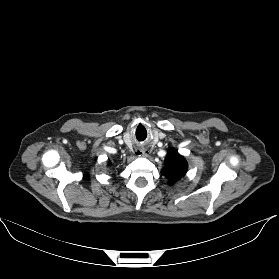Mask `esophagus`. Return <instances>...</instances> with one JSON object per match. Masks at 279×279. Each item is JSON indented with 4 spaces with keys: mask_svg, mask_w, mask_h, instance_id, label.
I'll return each instance as SVG.
<instances>
[{
    "mask_svg": "<svg viewBox=\"0 0 279 279\" xmlns=\"http://www.w3.org/2000/svg\"><path fill=\"white\" fill-rule=\"evenodd\" d=\"M138 156L145 157L147 155V151H139L137 152Z\"/></svg>",
    "mask_w": 279,
    "mask_h": 279,
    "instance_id": "obj_1",
    "label": "esophagus"
}]
</instances>
